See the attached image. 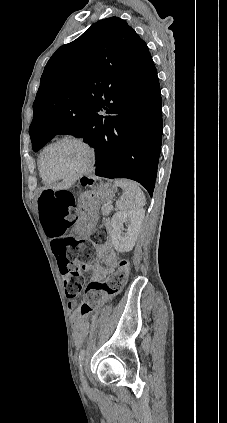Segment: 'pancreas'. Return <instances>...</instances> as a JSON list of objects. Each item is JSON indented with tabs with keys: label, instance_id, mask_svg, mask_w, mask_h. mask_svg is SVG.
Returning a JSON list of instances; mask_svg holds the SVG:
<instances>
[{
	"label": "pancreas",
	"instance_id": "cf45deb5",
	"mask_svg": "<svg viewBox=\"0 0 227 423\" xmlns=\"http://www.w3.org/2000/svg\"><path fill=\"white\" fill-rule=\"evenodd\" d=\"M108 206H102V213L103 215H108L110 213V210H107Z\"/></svg>",
	"mask_w": 227,
	"mask_h": 423
}]
</instances>
